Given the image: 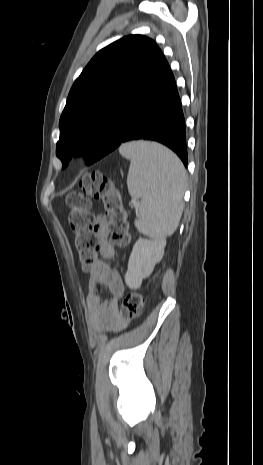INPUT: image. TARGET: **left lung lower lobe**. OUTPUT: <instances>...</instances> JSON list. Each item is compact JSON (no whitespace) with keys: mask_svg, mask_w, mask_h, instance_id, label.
Listing matches in <instances>:
<instances>
[{"mask_svg":"<svg viewBox=\"0 0 263 465\" xmlns=\"http://www.w3.org/2000/svg\"><path fill=\"white\" fill-rule=\"evenodd\" d=\"M185 121L174 76L163 54L145 74L136 97L120 110L114 129L99 154L103 158L122 143L152 140L172 149L187 165ZM70 157L62 164L66 167Z\"/></svg>","mask_w":263,"mask_h":465,"instance_id":"1","label":"left lung lower lobe"}]
</instances>
